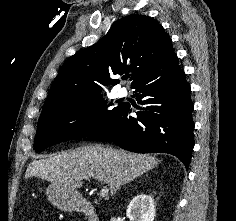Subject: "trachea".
<instances>
[{"instance_id": "obj_1", "label": "trachea", "mask_w": 236, "mask_h": 221, "mask_svg": "<svg viewBox=\"0 0 236 221\" xmlns=\"http://www.w3.org/2000/svg\"><path fill=\"white\" fill-rule=\"evenodd\" d=\"M128 78V76H126L124 79H127Z\"/></svg>"}]
</instances>
